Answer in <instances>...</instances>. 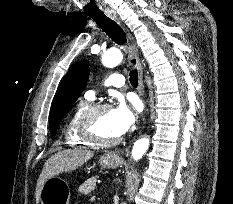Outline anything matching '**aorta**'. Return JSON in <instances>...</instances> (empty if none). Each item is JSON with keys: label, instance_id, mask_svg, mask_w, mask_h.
I'll return each instance as SVG.
<instances>
[{"label": "aorta", "instance_id": "1", "mask_svg": "<svg viewBox=\"0 0 233 204\" xmlns=\"http://www.w3.org/2000/svg\"><path fill=\"white\" fill-rule=\"evenodd\" d=\"M123 60V54L120 50L113 48L105 52L102 56V63L105 67L112 68L120 64ZM149 147V139L141 138L134 143L132 157L138 161L142 158Z\"/></svg>", "mask_w": 233, "mask_h": 204}]
</instances>
